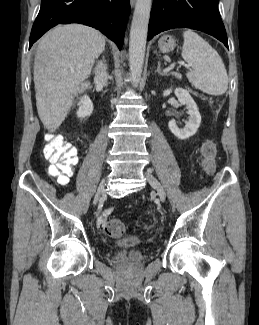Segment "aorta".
<instances>
[{"label": "aorta", "instance_id": "762f6f07", "mask_svg": "<svg viewBox=\"0 0 259 325\" xmlns=\"http://www.w3.org/2000/svg\"><path fill=\"white\" fill-rule=\"evenodd\" d=\"M152 0H136L129 41V68L135 84L141 79Z\"/></svg>", "mask_w": 259, "mask_h": 325}]
</instances>
